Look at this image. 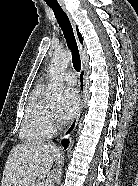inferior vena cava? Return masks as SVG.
Returning <instances> with one entry per match:
<instances>
[{
    "label": "inferior vena cava",
    "mask_w": 138,
    "mask_h": 186,
    "mask_svg": "<svg viewBox=\"0 0 138 186\" xmlns=\"http://www.w3.org/2000/svg\"><path fill=\"white\" fill-rule=\"evenodd\" d=\"M53 177V175H48V180H47V183L49 184V185H47V186H52L51 185V178Z\"/></svg>",
    "instance_id": "inferior-vena-cava-1"
}]
</instances>
